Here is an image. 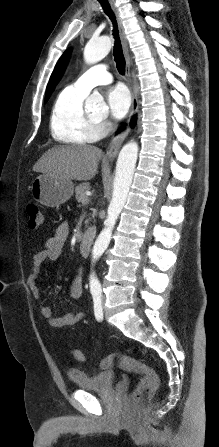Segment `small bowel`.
I'll use <instances>...</instances> for the list:
<instances>
[{"label":"small bowel","mask_w":219,"mask_h":447,"mask_svg":"<svg viewBox=\"0 0 219 447\" xmlns=\"http://www.w3.org/2000/svg\"><path fill=\"white\" fill-rule=\"evenodd\" d=\"M69 235V226L66 222L61 223L55 230V233L46 243L45 248L37 252L33 257V263L28 274L27 283L32 296L39 299L41 290L39 285V277L42 271V264L46 260L55 261L62 253L63 246ZM82 273L83 269H78L77 275L70 283V295L72 298H79L82 295ZM41 315L47 320L48 324L55 328L73 326L83 320L86 314L83 312H65L61 316L53 317L49 306L43 305L40 309Z\"/></svg>","instance_id":"obj_1"}]
</instances>
